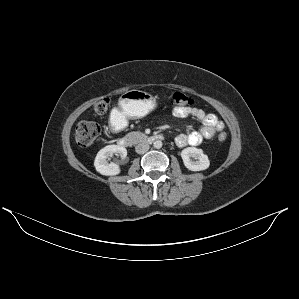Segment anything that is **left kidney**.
<instances>
[{
    "mask_svg": "<svg viewBox=\"0 0 299 299\" xmlns=\"http://www.w3.org/2000/svg\"><path fill=\"white\" fill-rule=\"evenodd\" d=\"M181 157L183 163L188 170L191 171H202L209 167L210 161L208 156L204 154L202 149L195 147H188L182 150ZM191 157L198 159V161H192Z\"/></svg>",
    "mask_w": 299,
    "mask_h": 299,
    "instance_id": "5707ae66",
    "label": "left kidney"
}]
</instances>
